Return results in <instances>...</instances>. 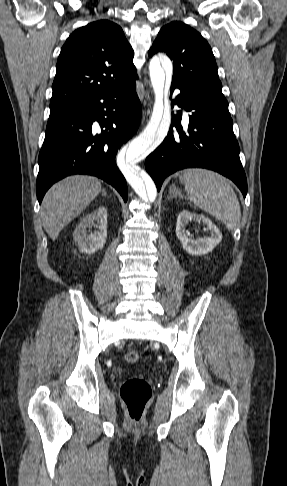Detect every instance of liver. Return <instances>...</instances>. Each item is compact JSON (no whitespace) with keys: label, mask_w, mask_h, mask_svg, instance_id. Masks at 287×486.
<instances>
[{"label":"liver","mask_w":287,"mask_h":486,"mask_svg":"<svg viewBox=\"0 0 287 486\" xmlns=\"http://www.w3.org/2000/svg\"><path fill=\"white\" fill-rule=\"evenodd\" d=\"M101 182L92 176H69L54 184L41 206L45 231L55 241L61 230L98 196Z\"/></svg>","instance_id":"1"}]
</instances>
